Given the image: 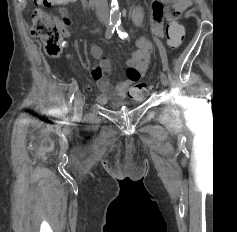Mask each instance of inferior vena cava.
<instances>
[{"mask_svg":"<svg viewBox=\"0 0 237 232\" xmlns=\"http://www.w3.org/2000/svg\"><path fill=\"white\" fill-rule=\"evenodd\" d=\"M91 4L95 7L96 15L99 20L106 21L109 17L107 0H90Z\"/></svg>","mask_w":237,"mask_h":232,"instance_id":"602c4592","label":"inferior vena cava"}]
</instances>
